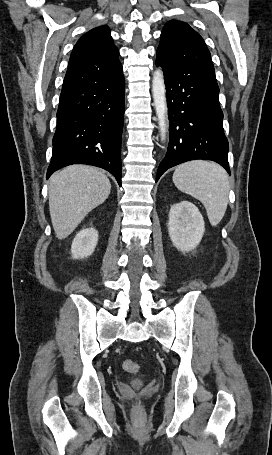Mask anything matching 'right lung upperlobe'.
<instances>
[{"label":"right lung upper lobe","mask_w":272,"mask_h":455,"mask_svg":"<svg viewBox=\"0 0 272 455\" xmlns=\"http://www.w3.org/2000/svg\"><path fill=\"white\" fill-rule=\"evenodd\" d=\"M118 56L108 26L85 33L73 48L61 93L122 73Z\"/></svg>","instance_id":"right-lung-upper-lobe-1"}]
</instances>
